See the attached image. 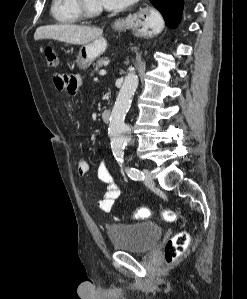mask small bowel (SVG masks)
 <instances>
[{"mask_svg":"<svg viewBox=\"0 0 247 299\" xmlns=\"http://www.w3.org/2000/svg\"><path fill=\"white\" fill-rule=\"evenodd\" d=\"M53 81L57 89L65 91L69 98H74L78 93L81 78L79 76L56 74ZM89 170L90 166L86 160L81 159L78 161L77 173L80 176H85ZM97 176L106 187L102 199L98 201V206L103 212H110L120 196V188L104 162L98 165Z\"/></svg>","mask_w":247,"mask_h":299,"instance_id":"1","label":"small bowel"}]
</instances>
